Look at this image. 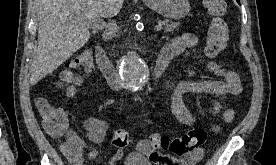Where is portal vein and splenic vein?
Masks as SVG:
<instances>
[{
    "mask_svg": "<svg viewBox=\"0 0 276 165\" xmlns=\"http://www.w3.org/2000/svg\"><path fill=\"white\" fill-rule=\"evenodd\" d=\"M163 22H158V25L155 27L156 30H161ZM88 25L94 29H104L105 27H113V24H107L103 19H93L90 20Z\"/></svg>",
    "mask_w": 276,
    "mask_h": 165,
    "instance_id": "obj_1",
    "label": "portal vein and splenic vein"
}]
</instances>
